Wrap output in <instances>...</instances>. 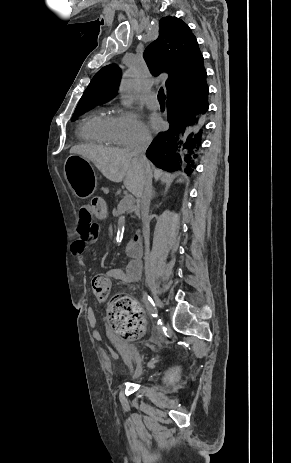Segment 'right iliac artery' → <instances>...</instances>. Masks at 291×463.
I'll use <instances>...</instances> for the list:
<instances>
[{
	"label": "right iliac artery",
	"instance_id": "obj_1",
	"mask_svg": "<svg viewBox=\"0 0 291 463\" xmlns=\"http://www.w3.org/2000/svg\"><path fill=\"white\" fill-rule=\"evenodd\" d=\"M143 299H144V302L146 304V307H147V310L149 311V313L153 317H156L157 316V310H156V307H155V304H154L152 298L150 296H148L147 294H144Z\"/></svg>",
	"mask_w": 291,
	"mask_h": 463
}]
</instances>
